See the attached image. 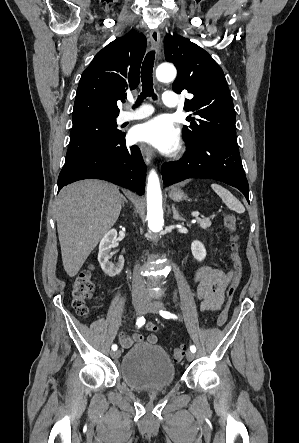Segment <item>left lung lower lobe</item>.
<instances>
[{"label":"left lung lower lobe","mask_w":299,"mask_h":443,"mask_svg":"<svg viewBox=\"0 0 299 443\" xmlns=\"http://www.w3.org/2000/svg\"><path fill=\"white\" fill-rule=\"evenodd\" d=\"M187 143V142H186ZM166 186L188 178H210L239 189L249 202V186L242 166L237 144L207 138L187 143L182 159L162 166Z\"/></svg>","instance_id":"1"}]
</instances>
